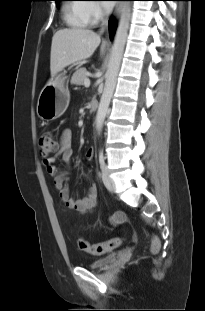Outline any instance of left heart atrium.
Returning a JSON list of instances; mask_svg holds the SVG:
<instances>
[{
    "label": "left heart atrium",
    "mask_w": 205,
    "mask_h": 311,
    "mask_svg": "<svg viewBox=\"0 0 205 311\" xmlns=\"http://www.w3.org/2000/svg\"><path fill=\"white\" fill-rule=\"evenodd\" d=\"M104 6L106 7L107 10H110L112 4H111V2H107V3L104 4Z\"/></svg>",
    "instance_id": "obj_1"
}]
</instances>
